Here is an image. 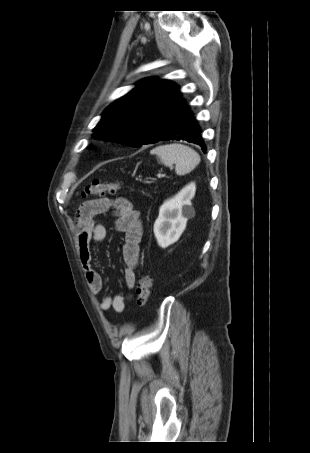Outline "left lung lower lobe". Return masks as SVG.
Listing matches in <instances>:
<instances>
[{
  "instance_id": "0a47b994",
  "label": "left lung lower lobe",
  "mask_w": 310,
  "mask_h": 453,
  "mask_svg": "<svg viewBox=\"0 0 310 453\" xmlns=\"http://www.w3.org/2000/svg\"><path fill=\"white\" fill-rule=\"evenodd\" d=\"M201 129L190 110V107L184 99H181L171 122L161 137L160 141L164 140H185L192 142L206 150V145L201 136Z\"/></svg>"
}]
</instances>
